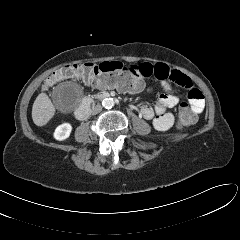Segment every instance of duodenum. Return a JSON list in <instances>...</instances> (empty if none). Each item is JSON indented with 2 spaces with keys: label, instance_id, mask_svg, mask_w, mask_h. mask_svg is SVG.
<instances>
[{
  "label": "duodenum",
  "instance_id": "duodenum-1",
  "mask_svg": "<svg viewBox=\"0 0 240 240\" xmlns=\"http://www.w3.org/2000/svg\"><path fill=\"white\" fill-rule=\"evenodd\" d=\"M109 93L108 92H101L98 93L95 96V99L97 100H103L106 98H109ZM93 104V99L89 98L86 99L75 111V116L79 119V120H84L88 117L91 107Z\"/></svg>",
  "mask_w": 240,
  "mask_h": 240
}]
</instances>
